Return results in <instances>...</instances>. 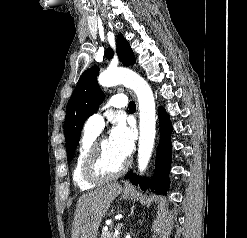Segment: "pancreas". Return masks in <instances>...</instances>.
<instances>
[{
	"instance_id": "1",
	"label": "pancreas",
	"mask_w": 247,
	"mask_h": 238,
	"mask_svg": "<svg viewBox=\"0 0 247 238\" xmlns=\"http://www.w3.org/2000/svg\"><path fill=\"white\" fill-rule=\"evenodd\" d=\"M101 238H119V236H115L114 233L110 231H102Z\"/></svg>"
}]
</instances>
